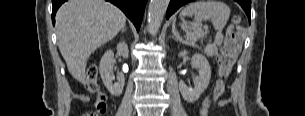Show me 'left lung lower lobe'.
I'll list each match as a JSON object with an SVG mask.
<instances>
[{"label":"left lung lower lobe","instance_id":"0a47b994","mask_svg":"<svg viewBox=\"0 0 305 116\" xmlns=\"http://www.w3.org/2000/svg\"><path fill=\"white\" fill-rule=\"evenodd\" d=\"M192 1L194 0H171L167 9L166 18L168 19L181 6ZM237 2L242 6L250 21L251 0H237Z\"/></svg>","mask_w":305,"mask_h":116}]
</instances>
